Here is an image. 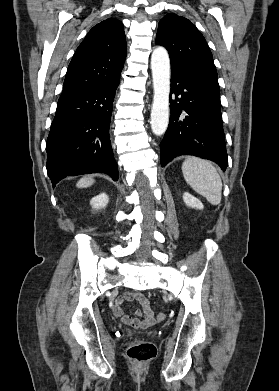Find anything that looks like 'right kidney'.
Wrapping results in <instances>:
<instances>
[{"mask_svg":"<svg viewBox=\"0 0 279 391\" xmlns=\"http://www.w3.org/2000/svg\"><path fill=\"white\" fill-rule=\"evenodd\" d=\"M109 201V197L105 193H101L95 197L92 198L90 201V205L93 209L100 210L107 206Z\"/></svg>","mask_w":279,"mask_h":391,"instance_id":"ca27d5eb","label":"right kidney"}]
</instances>
